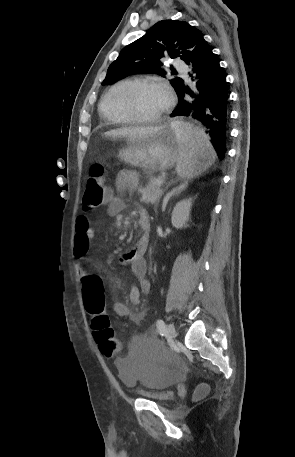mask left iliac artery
Listing matches in <instances>:
<instances>
[{"mask_svg": "<svg viewBox=\"0 0 295 457\" xmlns=\"http://www.w3.org/2000/svg\"><path fill=\"white\" fill-rule=\"evenodd\" d=\"M157 329L161 336L165 335L166 333V325L162 319L157 320L156 322Z\"/></svg>", "mask_w": 295, "mask_h": 457, "instance_id": "left-iliac-artery-1", "label": "left iliac artery"}]
</instances>
